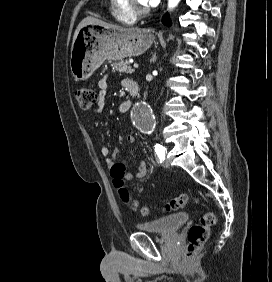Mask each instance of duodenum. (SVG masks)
Returning a JSON list of instances; mask_svg holds the SVG:
<instances>
[{"instance_id":"410a0bca","label":"duodenum","mask_w":272,"mask_h":282,"mask_svg":"<svg viewBox=\"0 0 272 282\" xmlns=\"http://www.w3.org/2000/svg\"><path fill=\"white\" fill-rule=\"evenodd\" d=\"M124 84L128 90L129 93V99L124 101L121 104V109H129L133 103L134 98H136V96L139 93V85L135 80L132 79H127L124 81Z\"/></svg>"}]
</instances>
